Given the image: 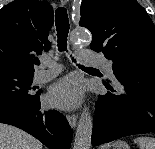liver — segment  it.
<instances>
[{
    "mask_svg": "<svg viewBox=\"0 0 155 149\" xmlns=\"http://www.w3.org/2000/svg\"><path fill=\"white\" fill-rule=\"evenodd\" d=\"M40 141L17 127L0 123V149H42Z\"/></svg>",
    "mask_w": 155,
    "mask_h": 149,
    "instance_id": "obj_1",
    "label": "liver"
}]
</instances>
